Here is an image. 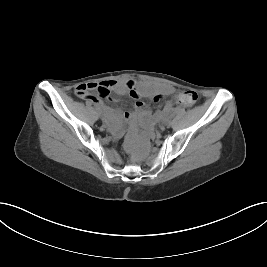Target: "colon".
<instances>
[{
  "instance_id": "5ec220e1",
  "label": "colon",
  "mask_w": 267,
  "mask_h": 267,
  "mask_svg": "<svg viewBox=\"0 0 267 267\" xmlns=\"http://www.w3.org/2000/svg\"><path fill=\"white\" fill-rule=\"evenodd\" d=\"M96 91L101 97L107 98L111 93V88L104 85L103 82L100 83H87L85 86L79 88L80 98H90L93 97V92ZM198 96L197 93L192 90H183L178 94V101L184 106H192Z\"/></svg>"
}]
</instances>
